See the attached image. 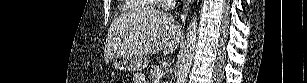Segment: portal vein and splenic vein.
<instances>
[{
  "label": "portal vein and splenic vein",
  "mask_w": 307,
  "mask_h": 83,
  "mask_svg": "<svg viewBox=\"0 0 307 83\" xmlns=\"http://www.w3.org/2000/svg\"><path fill=\"white\" fill-rule=\"evenodd\" d=\"M162 76H163V72H159V73L157 74V79H156L155 82H158V81L161 79Z\"/></svg>",
  "instance_id": "1"
}]
</instances>
